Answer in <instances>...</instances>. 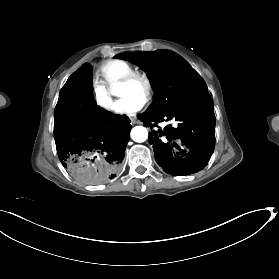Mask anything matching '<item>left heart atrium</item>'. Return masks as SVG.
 I'll list each match as a JSON object with an SVG mask.
<instances>
[{
  "label": "left heart atrium",
  "instance_id": "39dd6f15",
  "mask_svg": "<svg viewBox=\"0 0 279 279\" xmlns=\"http://www.w3.org/2000/svg\"><path fill=\"white\" fill-rule=\"evenodd\" d=\"M145 105L143 98L123 97L116 104L115 110L119 114L133 115L140 111Z\"/></svg>",
  "mask_w": 279,
  "mask_h": 279
}]
</instances>
